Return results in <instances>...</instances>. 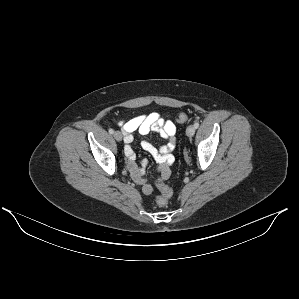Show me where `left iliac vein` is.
I'll return each mask as SVG.
<instances>
[{
    "instance_id": "obj_1",
    "label": "left iliac vein",
    "mask_w": 299,
    "mask_h": 299,
    "mask_svg": "<svg viewBox=\"0 0 299 299\" xmlns=\"http://www.w3.org/2000/svg\"><path fill=\"white\" fill-rule=\"evenodd\" d=\"M186 134L188 137H192L195 134V127L193 125H189L186 129Z\"/></svg>"
}]
</instances>
